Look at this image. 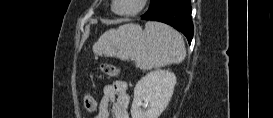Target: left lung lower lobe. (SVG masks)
<instances>
[{
	"instance_id": "1",
	"label": "left lung lower lobe",
	"mask_w": 273,
	"mask_h": 118,
	"mask_svg": "<svg viewBox=\"0 0 273 118\" xmlns=\"http://www.w3.org/2000/svg\"><path fill=\"white\" fill-rule=\"evenodd\" d=\"M190 0H163L152 12L142 16L144 20L166 23L182 32L189 43L193 38V23Z\"/></svg>"
}]
</instances>
